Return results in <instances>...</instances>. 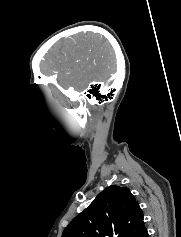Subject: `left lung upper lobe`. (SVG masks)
<instances>
[{
  "mask_svg": "<svg viewBox=\"0 0 181 237\" xmlns=\"http://www.w3.org/2000/svg\"><path fill=\"white\" fill-rule=\"evenodd\" d=\"M145 229L133 194L111 185L69 223L62 237H138Z\"/></svg>",
  "mask_w": 181,
  "mask_h": 237,
  "instance_id": "left-lung-upper-lobe-1",
  "label": "left lung upper lobe"
}]
</instances>
